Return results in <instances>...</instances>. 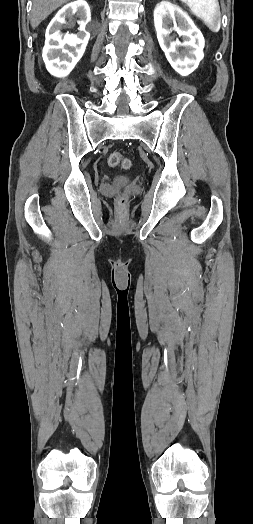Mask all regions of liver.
<instances>
[{
	"instance_id": "1",
	"label": "liver",
	"mask_w": 253,
	"mask_h": 524,
	"mask_svg": "<svg viewBox=\"0 0 253 524\" xmlns=\"http://www.w3.org/2000/svg\"><path fill=\"white\" fill-rule=\"evenodd\" d=\"M68 2H70V0H33L31 11L32 28H36L54 10Z\"/></svg>"
}]
</instances>
